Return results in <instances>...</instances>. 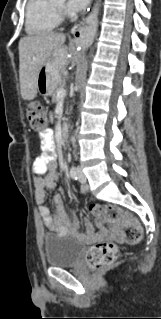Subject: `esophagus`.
<instances>
[{
    "mask_svg": "<svg viewBox=\"0 0 161 319\" xmlns=\"http://www.w3.org/2000/svg\"><path fill=\"white\" fill-rule=\"evenodd\" d=\"M86 33L87 29L83 25L72 30L75 40L83 46H88L89 44V40L85 37Z\"/></svg>",
    "mask_w": 161,
    "mask_h": 319,
    "instance_id": "1",
    "label": "esophagus"
}]
</instances>
